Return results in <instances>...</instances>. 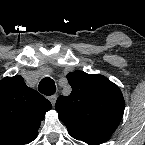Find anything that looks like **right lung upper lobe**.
<instances>
[{
    "mask_svg": "<svg viewBox=\"0 0 145 145\" xmlns=\"http://www.w3.org/2000/svg\"><path fill=\"white\" fill-rule=\"evenodd\" d=\"M51 103L19 76L0 81V145H25L38 134Z\"/></svg>",
    "mask_w": 145,
    "mask_h": 145,
    "instance_id": "cb5924a9",
    "label": "right lung upper lobe"
}]
</instances>
